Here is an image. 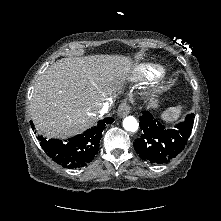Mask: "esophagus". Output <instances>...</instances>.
Instances as JSON below:
<instances>
[{"mask_svg": "<svg viewBox=\"0 0 221 221\" xmlns=\"http://www.w3.org/2000/svg\"><path fill=\"white\" fill-rule=\"evenodd\" d=\"M130 105L127 102H122L117 110V114L119 117H124L130 113Z\"/></svg>", "mask_w": 221, "mask_h": 221, "instance_id": "obj_1", "label": "esophagus"}]
</instances>
